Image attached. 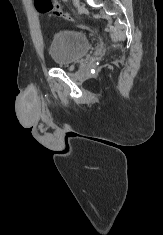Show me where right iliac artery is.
Here are the masks:
<instances>
[{"label":"right iliac artery","mask_w":163,"mask_h":235,"mask_svg":"<svg viewBox=\"0 0 163 235\" xmlns=\"http://www.w3.org/2000/svg\"><path fill=\"white\" fill-rule=\"evenodd\" d=\"M64 2H67L68 0H63Z\"/></svg>","instance_id":"obj_1"}]
</instances>
